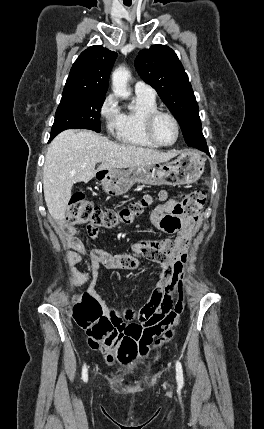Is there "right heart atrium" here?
Returning <instances> with one entry per match:
<instances>
[{"label":"right heart atrium","mask_w":264,"mask_h":429,"mask_svg":"<svg viewBox=\"0 0 264 429\" xmlns=\"http://www.w3.org/2000/svg\"><path fill=\"white\" fill-rule=\"evenodd\" d=\"M120 109L114 95L108 94L100 104L99 115L109 132H114L120 118Z\"/></svg>","instance_id":"d8ad5b80"}]
</instances>
